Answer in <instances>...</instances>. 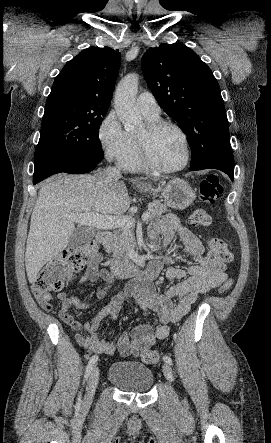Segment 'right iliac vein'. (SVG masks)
I'll return each mask as SVG.
<instances>
[{
	"label": "right iliac vein",
	"mask_w": 271,
	"mask_h": 443,
	"mask_svg": "<svg viewBox=\"0 0 271 443\" xmlns=\"http://www.w3.org/2000/svg\"><path fill=\"white\" fill-rule=\"evenodd\" d=\"M100 376V371L98 367H95L89 377L86 387V394L83 401V408H88L93 400V396L95 394L96 387L98 385Z\"/></svg>",
	"instance_id": "63e3f726"
}]
</instances>
